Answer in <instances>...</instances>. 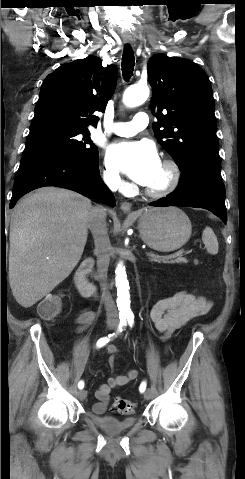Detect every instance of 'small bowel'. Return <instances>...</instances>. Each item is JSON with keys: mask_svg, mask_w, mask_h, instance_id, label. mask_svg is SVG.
I'll return each instance as SVG.
<instances>
[{"mask_svg": "<svg viewBox=\"0 0 245 479\" xmlns=\"http://www.w3.org/2000/svg\"><path fill=\"white\" fill-rule=\"evenodd\" d=\"M211 306V301L205 297L180 291L157 301L149 312V318L162 339H167L174 330L184 326L193 318L207 313ZM95 318V312L88 309L82 310L76 318L77 331L85 329ZM106 352L110 354L109 362L113 365L117 353L116 346H107ZM138 376V370L130 369L123 375L110 377L107 383L102 384L96 391L97 402L93 404L92 411L97 415L103 414L109 404L111 391L129 384Z\"/></svg>", "mask_w": 245, "mask_h": 479, "instance_id": "c3829d8e", "label": "small bowel"}]
</instances>
